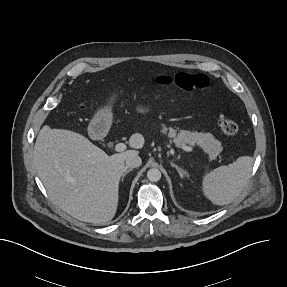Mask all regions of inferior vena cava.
I'll list each match as a JSON object with an SVG mask.
<instances>
[{
    "label": "inferior vena cava",
    "mask_w": 287,
    "mask_h": 287,
    "mask_svg": "<svg viewBox=\"0 0 287 287\" xmlns=\"http://www.w3.org/2000/svg\"><path fill=\"white\" fill-rule=\"evenodd\" d=\"M126 167L137 168L142 164V160L138 155H131L125 160Z\"/></svg>",
    "instance_id": "inferior-vena-cava-1"
}]
</instances>
